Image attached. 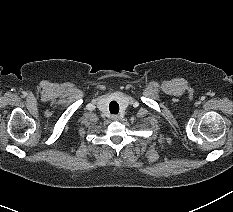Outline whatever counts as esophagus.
Here are the masks:
<instances>
[{"label":"esophagus","instance_id":"obj_1","mask_svg":"<svg viewBox=\"0 0 233 212\" xmlns=\"http://www.w3.org/2000/svg\"><path fill=\"white\" fill-rule=\"evenodd\" d=\"M111 118H112L113 120H118V119H119V115H116V114H115V115H112Z\"/></svg>","mask_w":233,"mask_h":212}]
</instances>
